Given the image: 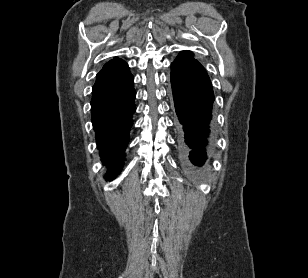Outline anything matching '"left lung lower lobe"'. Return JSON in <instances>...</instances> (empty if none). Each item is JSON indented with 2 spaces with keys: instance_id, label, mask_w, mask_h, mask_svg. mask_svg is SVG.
Returning a JSON list of instances; mask_svg holds the SVG:
<instances>
[{
  "instance_id": "obj_1",
  "label": "left lung lower lobe",
  "mask_w": 308,
  "mask_h": 278,
  "mask_svg": "<svg viewBox=\"0 0 308 278\" xmlns=\"http://www.w3.org/2000/svg\"><path fill=\"white\" fill-rule=\"evenodd\" d=\"M171 84L179 119L180 144L196 166L206 161L215 100L205 68L194 58L171 64Z\"/></svg>"
}]
</instances>
